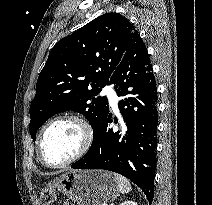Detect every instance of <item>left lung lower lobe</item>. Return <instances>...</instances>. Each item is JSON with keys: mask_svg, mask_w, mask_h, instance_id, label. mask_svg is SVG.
Instances as JSON below:
<instances>
[{"mask_svg": "<svg viewBox=\"0 0 212 205\" xmlns=\"http://www.w3.org/2000/svg\"><path fill=\"white\" fill-rule=\"evenodd\" d=\"M123 97L119 110L122 129L109 127V109L95 127L88 152L71 167L117 172L139 186L151 203L157 148V87L146 46L139 34L133 36L109 83Z\"/></svg>", "mask_w": 212, "mask_h": 205, "instance_id": "left-lung-lower-lobe-1", "label": "left lung lower lobe"}]
</instances>
